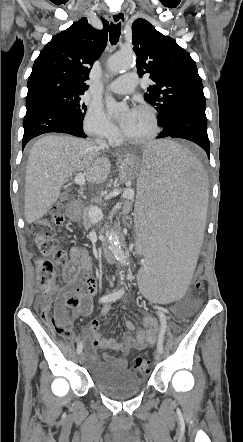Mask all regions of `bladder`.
Here are the masks:
<instances>
[{
	"instance_id": "31cf9c89",
	"label": "bladder",
	"mask_w": 243,
	"mask_h": 442,
	"mask_svg": "<svg viewBox=\"0 0 243 442\" xmlns=\"http://www.w3.org/2000/svg\"><path fill=\"white\" fill-rule=\"evenodd\" d=\"M89 375L100 392L116 400H125L137 395L145 383L135 372L126 367H119L106 358L92 363Z\"/></svg>"
}]
</instances>
